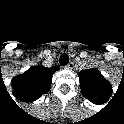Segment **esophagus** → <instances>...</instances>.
Here are the masks:
<instances>
[{"label":"esophagus","instance_id":"1","mask_svg":"<svg viewBox=\"0 0 124 124\" xmlns=\"http://www.w3.org/2000/svg\"><path fill=\"white\" fill-rule=\"evenodd\" d=\"M65 68H67V69H73L74 68V63L73 62H70L69 64H67L65 66Z\"/></svg>","mask_w":124,"mask_h":124}]
</instances>
